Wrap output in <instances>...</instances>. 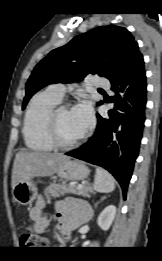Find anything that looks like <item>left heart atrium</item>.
<instances>
[{"instance_id":"39dd6f15","label":"left heart atrium","mask_w":162,"mask_h":261,"mask_svg":"<svg viewBox=\"0 0 162 261\" xmlns=\"http://www.w3.org/2000/svg\"><path fill=\"white\" fill-rule=\"evenodd\" d=\"M71 114L78 124L81 131L84 133L93 123V112L91 105L87 101H83L76 105Z\"/></svg>"}]
</instances>
